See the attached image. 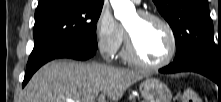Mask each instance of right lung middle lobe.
I'll return each mask as SVG.
<instances>
[{
  "label": "right lung middle lobe",
  "instance_id": "dd1d6c3e",
  "mask_svg": "<svg viewBox=\"0 0 221 102\" xmlns=\"http://www.w3.org/2000/svg\"><path fill=\"white\" fill-rule=\"evenodd\" d=\"M103 3L85 0H51L38 5L33 30L34 48L28 63L65 44L97 49L96 22Z\"/></svg>",
  "mask_w": 221,
  "mask_h": 102
}]
</instances>
